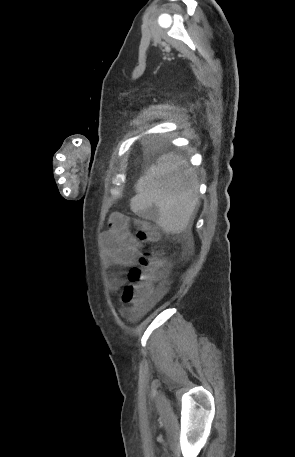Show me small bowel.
Returning a JSON list of instances; mask_svg holds the SVG:
<instances>
[{"instance_id":"c3829d8e","label":"small bowel","mask_w":295,"mask_h":457,"mask_svg":"<svg viewBox=\"0 0 295 457\" xmlns=\"http://www.w3.org/2000/svg\"><path fill=\"white\" fill-rule=\"evenodd\" d=\"M108 225V229L102 235L107 261L113 266L133 267L141 254V241L132 233L129 218L122 213L114 212L109 217ZM122 284L123 280L114 278L111 286L112 289H118ZM166 290L164 282L156 288L153 286L143 310L163 296Z\"/></svg>"}]
</instances>
